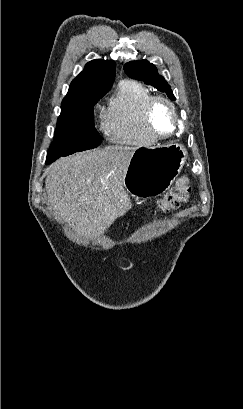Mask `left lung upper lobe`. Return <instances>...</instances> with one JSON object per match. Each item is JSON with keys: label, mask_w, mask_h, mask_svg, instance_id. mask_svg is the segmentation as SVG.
I'll return each instance as SVG.
<instances>
[{"label": "left lung upper lobe", "mask_w": 243, "mask_h": 409, "mask_svg": "<svg viewBox=\"0 0 243 409\" xmlns=\"http://www.w3.org/2000/svg\"><path fill=\"white\" fill-rule=\"evenodd\" d=\"M124 71L129 77L142 80L145 84L154 86L162 92H166L169 98L175 99L168 83L158 74L155 65L149 63L147 60L126 63L124 65Z\"/></svg>", "instance_id": "left-lung-upper-lobe-1"}]
</instances>
